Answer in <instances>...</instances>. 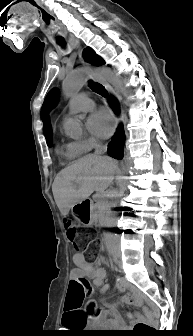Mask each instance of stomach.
Returning a JSON list of instances; mask_svg holds the SVG:
<instances>
[{
  "label": "stomach",
  "instance_id": "obj_1",
  "mask_svg": "<svg viewBox=\"0 0 193 336\" xmlns=\"http://www.w3.org/2000/svg\"><path fill=\"white\" fill-rule=\"evenodd\" d=\"M74 217L83 225L90 226L94 222V213L89 201L83 200L71 208Z\"/></svg>",
  "mask_w": 193,
  "mask_h": 336
}]
</instances>
